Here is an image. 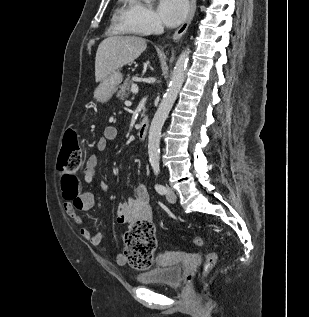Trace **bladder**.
<instances>
[{
    "label": "bladder",
    "mask_w": 309,
    "mask_h": 317,
    "mask_svg": "<svg viewBox=\"0 0 309 317\" xmlns=\"http://www.w3.org/2000/svg\"><path fill=\"white\" fill-rule=\"evenodd\" d=\"M182 280V268L177 264L157 266L137 277V281L141 284H158L170 288L179 287Z\"/></svg>",
    "instance_id": "1"
}]
</instances>
